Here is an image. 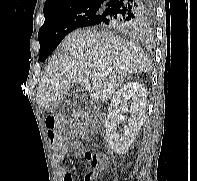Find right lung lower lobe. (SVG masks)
I'll use <instances>...</instances> for the list:
<instances>
[{"label":"right lung lower lobe","instance_id":"1","mask_svg":"<svg viewBox=\"0 0 197 181\" xmlns=\"http://www.w3.org/2000/svg\"><path fill=\"white\" fill-rule=\"evenodd\" d=\"M154 17V0H109L103 11L88 19L86 26L101 25L124 32L142 31Z\"/></svg>","mask_w":197,"mask_h":181}]
</instances>
